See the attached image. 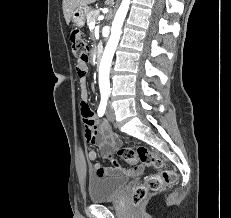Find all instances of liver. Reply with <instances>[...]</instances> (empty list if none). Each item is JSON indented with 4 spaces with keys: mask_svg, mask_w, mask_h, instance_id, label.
<instances>
[{
    "mask_svg": "<svg viewBox=\"0 0 231 218\" xmlns=\"http://www.w3.org/2000/svg\"><path fill=\"white\" fill-rule=\"evenodd\" d=\"M97 0H63V14L67 24L70 23L73 11L80 6L87 7V5L96 2ZM114 0H106L105 4H112Z\"/></svg>",
    "mask_w": 231,
    "mask_h": 218,
    "instance_id": "1",
    "label": "liver"
}]
</instances>
